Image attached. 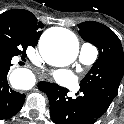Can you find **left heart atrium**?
Instances as JSON below:
<instances>
[{
	"label": "left heart atrium",
	"instance_id": "1",
	"mask_svg": "<svg viewBox=\"0 0 124 124\" xmlns=\"http://www.w3.org/2000/svg\"><path fill=\"white\" fill-rule=\"evenodd\" d=\"M53 76L55 81L63 86L71 85L75 80L73 73L68 70L56 71Z\"/></svg>",
	"mask_w": 124,
	"mask_h": 124
}]
</instances>
